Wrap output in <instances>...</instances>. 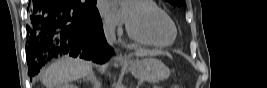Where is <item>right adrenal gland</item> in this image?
<instances>
[{
    "mask_svg": "<svg viewBox=\"0 0 267 88\" xmlns=\"http://www.w3.org/2000/svg\"><path fill=\"white\" fill-rule=\"evenodd\" d=\"M86 81H90L93 85H94V88H101V83L100 81L97 79L95 73H91L89 74L87 77H85Z\"/></svg>",
    "mask_w": 267,
    "mask_h": 88,
    "instance_id": "2a0ac1e0",
    "label": "right adrenal gland"
}]
</instances>
